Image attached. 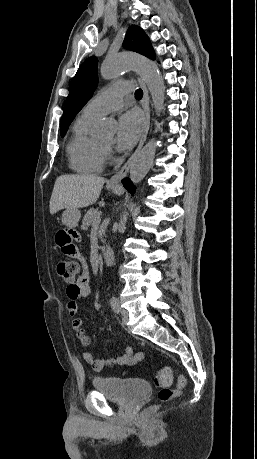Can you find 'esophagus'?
I'll use <instances>...</instances> for the list:
<instances>
[{"label":"esophagus","mask_w":257,"mask_h":459,"mask_svg":"<svg viewBox=\"0 0 257 459\" xmlns=\"http://www.w3.org/2000/svg\"><path fill=\"white\" fill-rule=\"evenodd\" d=\"M138 82H139V84H140V86H141V88L143 90L142 107H143V110H144V113H145V126H144V130H143L139 145H138L137 149L135 150V152L129 157V159L122 166V168L118 172H116L110 178V180L108 181V184L112 185V186H120V183H121L122 179L127 175L128 171H129V168L131 166L132 161L134 160V158L137 156V154L141 150V148H142V146H143V144H144V142H145V140L147 138L148 131H149V127H150V107H149L148 89L146 87L145 82L139 77H138Z\"/></svg>","instance_id":"esophagus-1"}]
</instances>
